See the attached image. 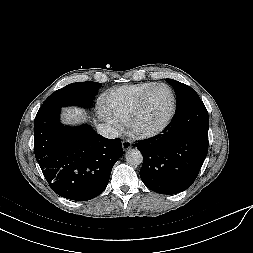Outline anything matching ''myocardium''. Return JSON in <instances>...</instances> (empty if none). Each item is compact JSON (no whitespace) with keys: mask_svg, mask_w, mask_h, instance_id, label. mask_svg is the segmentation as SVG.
<instances>
[{"mask_svg":"<svg viewBox=\"0 0 253 253\" xmlns=\"http://www.w3.org/2000/svg\"><path fill=\"white\" fill-rule=\"evenodd\" d=\"M159 86H164L168 88L171 93L172 103L170 113L166 118V120L161 125L154 128H141L138 126V120L142 114L146 100L149 94ZM176 109H177V98L173 88L167 83L163 82L154 83L149 88H147L139 98L137 106L127 122L128 129L132 135L139 138H151L157 136L161 134L170 125L176 114Z\"/></svg>","mask_w":253,"mask_h":253,"instance_id":"1","label":"myocardium"}]
</instances>
